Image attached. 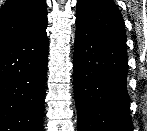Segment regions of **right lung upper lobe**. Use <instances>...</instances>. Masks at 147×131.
Wrapping results in <instances>:
<instances>
[{"label":"right lung upper lobe","mask_w":147,"mask_h":131,"mask_svg":"<svg viewBox=\"0 0 147 131\" xmlns=\"http://www.w3.org/2000/svg\"><path fill=\"white\" fill-rule=\"evenodd\" d=\"M47 22L45 0H7L0 9V44L36 34Z\"/></svg>","instance_id":"obj_1"}]
</instances>
